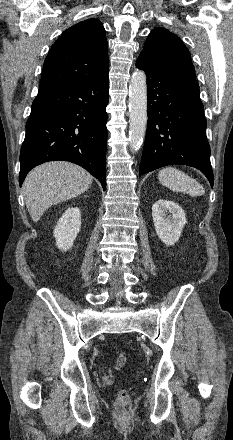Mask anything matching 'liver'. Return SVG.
I'll list each match as a JSON object with an SVG mask.
<instances>
[{
	"instance_id": "1",
	"label": "liver",
	"mask_w": 233,
	"mask_h": 440,
	"mask_svg": "<svg viewBox=\"0 0 233 440\" xmlns=\"http://www.w3.org/2000/svg\"><path fill=\"white\" fill-rule=\"evenodd\" d=\"M92 176L82 167L68 162H48L32 169L23 184L26 207L34 222L52 205L87 191Z\"/></svg>"
}]
</instances>
